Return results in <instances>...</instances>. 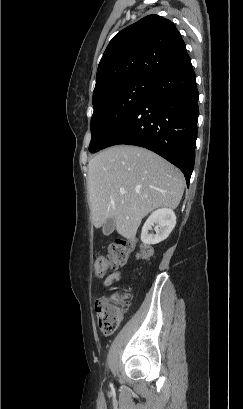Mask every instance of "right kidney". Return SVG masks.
I'll return each mask as SVG.
<instances>
[{
  "label": "right kidney",
  "mask_w": 243,
  "mask_h": 409,
  "mask_svg": "<svg viewBox=\"0 0 243 409\" xmlns=\"http://www.w3.org/2000/svg\"><path fill=\"white\" fill-rule=\"evenodd\" d=\"M176 225V215L173 210L161 208L154 211L142 227L141 241L144 244H158L165 240ZM155 226L156 234H149Z\"/></svg>",
  "instance_id": "1"
}]
</instances>
